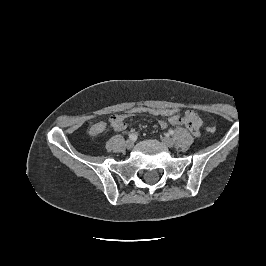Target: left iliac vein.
Instances as JSON below:
<instances>
[{
	"mask_svg": "<svg viewBox=\"0 0 266 266\" xmlns=\"http://www.w3.org/2000/svg\"><path fill=\"white\" fill-rule=\"evenodd\" d=\"M162 142L164 145H166L167 147H173L174 146V140L168 136H164L162 137Z\"/></svg>",
	"mask_w": 266,
	"mask_h": 266,
	"instance_id": "left-iliac-vein-1",
	"label": "left iliac vein"
}]
</instances>
